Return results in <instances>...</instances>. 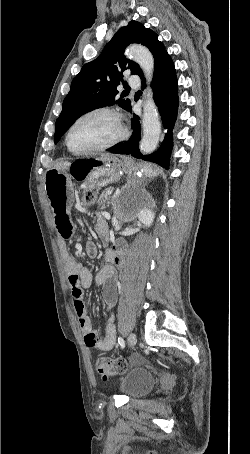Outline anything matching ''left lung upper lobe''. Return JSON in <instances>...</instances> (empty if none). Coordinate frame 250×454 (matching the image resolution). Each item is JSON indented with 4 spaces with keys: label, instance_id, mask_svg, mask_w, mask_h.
Segmentation results:
<instances>
[{
    "label": "left lung upper lobe",
    "instance_id": "1",
    "mask_svg": "<svg viewBox=\"0 0 250 454\" xmlns=\"http://www.w3.org/2000/svg\"><path fill=\"white\" fill-rule=\"evenodd\" d=\"M131 43L145 45L154 57V64L167 54L157 35L137 21H130L122 27L107 43L95 60L86 63L73 79L68 95L65 97L62 112L56 120L54 141L61 136L83 114L97 108L118 104L128 110L131 106L124 95L118 98L117 86L123 82V71L142 77L140 66L124 56V50Z\"/></svg>",
    "mask_w": 250,
    "mask_h": 454
}]
</instances>
